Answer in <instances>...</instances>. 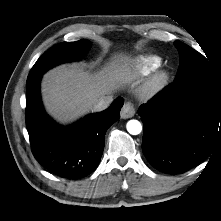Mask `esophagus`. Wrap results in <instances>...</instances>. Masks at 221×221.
I'll return each mask as SVG.
<instances>
[{
  "label": "esophagus",
  "mask_w": 221,
  "mask_h": 221,
  "mask_svg": "<svg viewBox=\"0 0 221 221\" xmlns=\"http://www.w3.org/2000/svg\"><path fill=\"white\" fill-rule=\"evenodd\" d=\"M135 114V107L134 104L131 102H126L121 110V118L127 119L133 117Z\"/></svg>",
  "instance_id": "1"
}]
</instances>
